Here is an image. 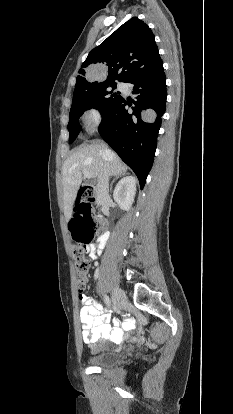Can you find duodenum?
<instances>
[{
    "mask_svg": "<svg viewBox=\"0 0 233 414\" xmlns=\"http://www.w3.org/2000/svg\"><path fill=\"white\" fill-rule=\"evenodd\" d=\"M81 192H82V195H79L78 196V198H77V202H76V204H74L73 205V210L74 211H80L81 210V208L85 205V204H94L95 203V198L94 197H90V194H88V192L90 191V190H92L90 187H87V186H82L81 187Z\"/></svg>",
    "mask_w": 233,
    "mask_h": 414,
    "instance_id": "obj_1",
    "label": "duodenum"
}]
</instances>
